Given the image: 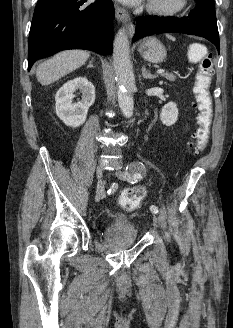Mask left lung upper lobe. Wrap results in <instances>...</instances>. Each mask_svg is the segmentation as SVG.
<instances>
[{"label":"left lung upper lobe","mask_w":233,"mask_h":328,"mask_svg":"<svg viewBox=\"0 0 233 328\" xmlns=\"http://www.w3.org/2000/svg\"><path fill=\"white\" fill-rule=\"evenodd\" d=\"M197 3H198V7L200 8L210 12H215L213 0H197Z\"/></svg>","instance_id":"1"}]
</instances>
